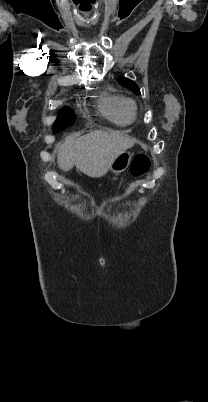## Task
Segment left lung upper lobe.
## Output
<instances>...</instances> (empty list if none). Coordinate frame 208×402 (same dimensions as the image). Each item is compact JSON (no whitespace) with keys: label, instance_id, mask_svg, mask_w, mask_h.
Wrapping results in <instances>:
<instances>
[{"label":"left lung upper lobe","instance_id":"5c2ea615","mask_svg":"<svg viewBox=\"0 0 208 402\" xmlns=\"http://www.w3.org/2000/svg\"><path fill=\"white\" fill-rule=\"evenodd\" d=\"M118 82L122 86L127 87L128 89H130L131 91H133V92H135L137 94H140V90H139L137 84L135 82H133L132 80H129V79L125 78V77H119Z\"/></svg>","mask_w":208,"mask_h":402}]
</instances>
